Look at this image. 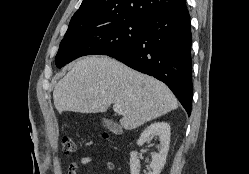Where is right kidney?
Returning a JSON list of instances; mask_svg holds the SVG:
<instances>
[{"instance_id":"obj_1","label":"right kidney","mask_w":249,"mask_h":174,"mask_svg":"<svg viewBox=\"0 0 249 174\" xmlns=\"http://www.w3.org/2000/svg\"><path fill=\"white\" fill-rule=\"evenodd\" d=\"M170 131V125L168 123L156 122L148 126L138 139L137 144L142 146L145 142L150 141L153 134H159L160 150L159 153H154L152 156V162L150 164L151 170L147 174H160L163 169L169 151ZM130 171L131 174H139L140 172V161L137 151H132L130 154Z\"/></svg>"}]
</instances>
